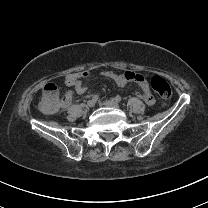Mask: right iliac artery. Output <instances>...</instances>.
<instances>
[{"mask_svg": "<svg viewBox=\"0 0 208 208\" xmlns=\"http://www.w3.org/2000/svg\"><path fill=\"white\" fill-rule=\"evenodd\" d=\"M99 99L98 95H93L92 100L97 101Z\"/></svg>", "mask_w": 208, "mask_h": 208, "instance_id": "1", "label": "right iliac artery"}]
</instances>
